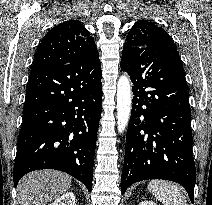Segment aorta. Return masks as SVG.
<instances>
[{
	"mask_svg": "<svg viewBox=\"0 0 212 205\" xmlns=\"http://www.w3.org/2000/svg\"><path fill=\"white\" fill-rule=\"evenodd\" d=\"M132 106L131 84L127 75L120 76L117 83V129L123 133L126 129Z\"/></svg>",
	"mask_w": 212,
	"mask_h": 205,
	"instance_id": "762f6f07",
	"label": "aorta"
}]
</instances>
